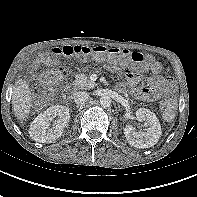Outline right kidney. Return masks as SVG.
Returning a JSON list of instances; mask_svg holds the SVG:
<instances>
[{
  "label": "right kidney",
  "mask_w": 197,
  "mask_h": 197,
  "mask_svg": "<svg viewBox=\"0 0 197 197\" xmlns=\"http://www.w3.org/2000/svg\"><path fill=\"white\" fill-rule=\"evenodd\" d=\"M55 117L58 119L50 128V123ZM69 119L68 107L63 105L51 106L32 121L29 129L30 137L36 142L52 143L61 137Z\"/></svg>",
  "instance_id": "right-kidney-1"
}]
</instances>
